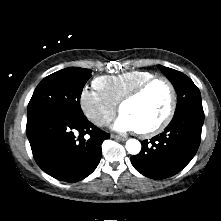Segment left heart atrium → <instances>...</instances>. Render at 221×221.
Wrapping results in <instances>:
<instances>
[{"mask_svg": "<svg viewBox=\"0 0 221 221\" xmlns=\"http://www.w3.org/2000/svg\"><path fill=\"white\" fill-rule=\"evenodd\" d=\"M114 128L120 132L138 131L135 121L125 113L119 115Z\"/></svg>", "mask_w": 221, "mask_h": 221, "instance_id": "obj_1", "label": "left heart atrium"}]
</instances>
